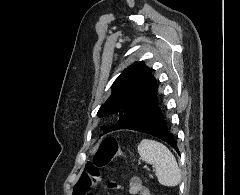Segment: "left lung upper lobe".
<instances>
[{"mask_svg":"<svg viewBox=\"0 0 240 195\" xmlns=\"http://www.w3.org/2000/svg\"><path fill=\"white\" fill-rule=\"evenodd\" d=\"M156 95L157 81L143 61L127 67L114 81L111 96L97 113L99 117L119 116L118 122L105 132L121 129L131 122Z\"/></svg>","mask_w":240,"mask_h":195,"instance_id":"left-lung-upper-lobe-1","label":"left lung upper lobe"}]
</instances>
